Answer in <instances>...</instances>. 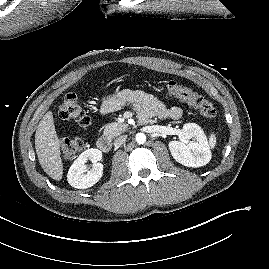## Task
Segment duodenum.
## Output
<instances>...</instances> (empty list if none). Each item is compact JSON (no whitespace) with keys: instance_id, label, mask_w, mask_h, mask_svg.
<instances>
[{"instance_id":"obj_1","label":"duodenum","mask_w":269,"mask_h":269,"mask_svg":"<svg viewBox=\"0 0 269 269\" xmlns=\"http://www.w3.org/2000/svg\"><path fill=\"white\" fill-rule=\"evenodd\" d=\"M96 146L100 151L104 153H108L112 149L111 140L105 136H101L97 139Z\"/></svg>"}]
</instances>
